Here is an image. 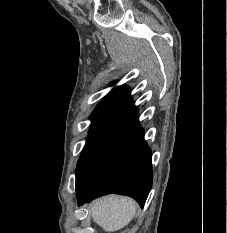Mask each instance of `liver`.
Returning <instances> with one entry per match:
<instances>
[{
	"label": "liver",
	"instance_id": "liver-1",
	"mask_svg": "<svg viewBox=\"0 0 227 233\" xmlns=\"http://www.w3.org/2000/svg\"><path fill=\"white\" fill-rule=\"evenodd\" d=\"M89 210L93 221L110 233L128 225L136 214L137 204L129 197L110 195L92 202Z\"/></svg>",
	"mask_w": 227,
	"mask_h": 233
}]
</instances>
